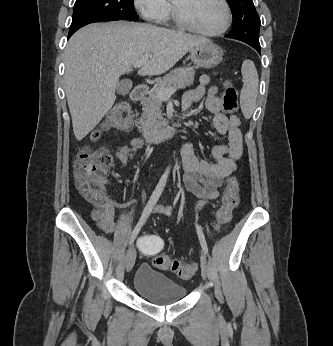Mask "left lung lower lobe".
Returning a JSON list of instances; mask_svg holds the SVG:
<instances>
[{
  "label": "left lung lower lobe",
  "mask_w": 333,
  "mask_h": 346,
  "mask_svg": "<svg viewBox=\"0 0 333 346\" xmlns=\"http://www.w3.org/2000/svg\"><path fill=\"white\" fill-rule=\"evenodd\" d=\"M247 44H249L250 46H252L254 49L257 50V52H258L259 54H261V51H260V44H259V43L248 42Z\"/></svg>",
  "instance_id": "1"
}]
</instances>
